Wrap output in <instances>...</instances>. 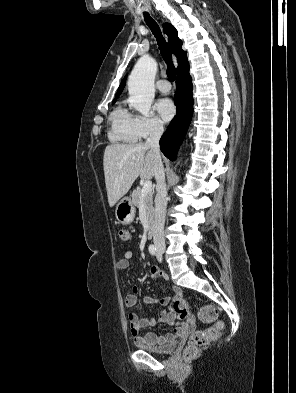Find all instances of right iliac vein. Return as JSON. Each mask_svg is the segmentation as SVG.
<instances>
[{
	"mask_svg": "<svg viewBox=\"0 0 296 393\" xmlns=\"http://www.w3.org/2000/svg\"><path fill=\"white\" fill-rule=\"evenodd\" d=\"M158 252H159L160 254H163V253L165 252V248H164V247H159V248H158Z\"/></svg>",
	"mask_w": 296,
	"mask_h": 393,
	"instance_id": "1",
	"label": "right iliac vein"
}]
</instances>
